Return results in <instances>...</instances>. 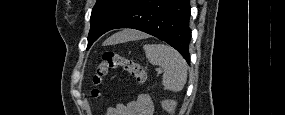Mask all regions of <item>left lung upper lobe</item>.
<instances>
[{"instance_id": "left-lung-upper-lobe-1", "label": "left lung upper lobe", "mask_w": 285, "mask_h": 115, "mask_svg": "<svg viewBox=\"0 0 285 115\" xmlns=\"http://www.w3.org/2000/svg\"><path fill=\"white\" fill-rule=\"evenodd\" d=\"M133 0H97L91 13V29L88 35V48L104 33L114 19Z\"/></svg>"}]
</instances>
